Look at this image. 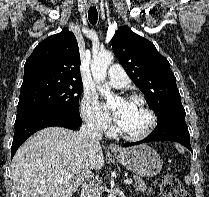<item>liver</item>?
Here are the masks:
<instances>
[{
  "mask_svg": "<svg viewBox=\"0 0 209 197\" xmlns=\"http://www.w3.org/2000/svg\"><path fill=\"white\" fill-rule=\"evenodd\" d=\"M103 165L99 143L84 140L63 127H49L20 146L11 176L18 197H72L87 178V171L100 170Z\"/></svg>",
  "mask_w": 209,
  "mask_h": 197,
  "instance_id": "6515ba94",
  "label": "liver"
}]
</instances>
